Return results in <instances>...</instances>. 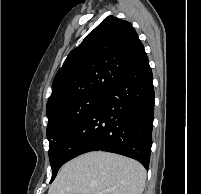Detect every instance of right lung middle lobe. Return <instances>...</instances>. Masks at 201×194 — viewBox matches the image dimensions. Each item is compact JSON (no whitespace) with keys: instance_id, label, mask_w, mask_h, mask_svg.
I'll return each instance as SVG.
<instances>
[{"instance_id":"dd1d6c3e","label":"right lung middle lobe","mask_w":201,"mask_h":194,"mask_svg":"<svg viewBox=\"0 0 201 194\" xmlns=\"http://www.w3.org/2000/svg\"><path fill=\"white\" fill-rule=\"evenodd\" d=\"M103 95L87 96L65 103L52 112L47 113V137L49 140V159L52 167L51 182L60 168L55 159V152L60 147L63 138L83 120L101 101Z\"/></svg>"}]
</instances>
